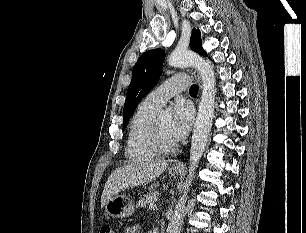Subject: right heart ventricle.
<instances>
[{
  "label": "right heart ventricle",
  "instance_id": "e07e8e85",
  "mask_svg": "<svg viewBox=\"0 0 306 233\" xmlns=\"http://www.w3.org/2000/svg\"><path fill=\"white\" fill-rule=\"evenodd\" d=\"M159 109L143 100L134 112L128 126L125 153L133 162L155 158L158 153L149 142V129Z\"/></svg>",
  "mask_w": 306,
  "mask_h": 233
}]
</instances>
